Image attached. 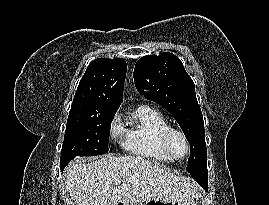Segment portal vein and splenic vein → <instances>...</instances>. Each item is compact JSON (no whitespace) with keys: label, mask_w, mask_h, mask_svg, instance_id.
I'll list each match as a JSON object with an SVG mask.
<instances>
[{"label":"portal vein and splenic vein","mask_w":269,"mask_h":205,"mask_svg":"<svg viewBox=\"0 0 269 205\" xmlns=\"http://www.w3.org/2000/svg\"><path fill=\"white\" fill-rule=\"evenodd\" d=\"M120 183H121V181L118 179L114 181V184H116V185H119Z\"/></svg>","instance_id":"1"}]
</instances>
